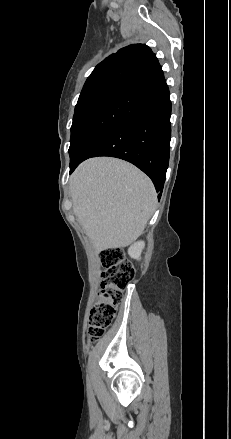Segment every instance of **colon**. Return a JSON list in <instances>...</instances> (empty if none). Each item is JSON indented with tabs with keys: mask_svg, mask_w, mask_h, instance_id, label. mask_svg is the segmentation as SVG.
Returning <instances> with one entry per match:
<instances>
[{
	"mask_svg": "<svg viewBox=\"0 0 231 439\" xmlns=\"http://www.w3.org/2000/svg\"><path fill=\"white\" fill-rule=\"evenodd\" d=\"M100 262L104 269V280L89 317V336L92 342L98 341L114 320L123 292L134 278L133 266L118 247L104 249Z\"/></svg>",
	"mask_w": 231,
	"mask_h": 439,
	"instance_id": "colon-1",
	"label": "colon"
}]
</instances>
